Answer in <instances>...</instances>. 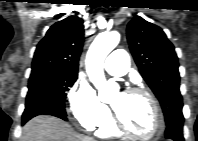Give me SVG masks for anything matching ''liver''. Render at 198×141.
Wrapping results in <instances>:
<instances>
[{"mask_svg":"<svg viewBox=\"0 0 198 141\" xmlns=\"http://www.w3.org/2000/svg\"><path fill=\"white\" fill-rule=\"evenodd\" d=\"M21 141H92V138L78 134L57 117L41 115L25 124Z\"/></svg>","mask_w":198,"mask_h":141,"instance_id":"liver-1","label":"liver"}]
</instances>
